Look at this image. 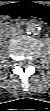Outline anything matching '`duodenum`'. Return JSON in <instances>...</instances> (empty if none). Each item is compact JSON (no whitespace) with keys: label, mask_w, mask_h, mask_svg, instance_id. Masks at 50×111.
<instances>
[{"label":"duodenum","mask_w":50,"mask_h":111,"mask_svg":"<svg viewBox=\"0 0 50 111\" xmlns=\"http://www.w3.org/2000/svg\"><path fill=\"white\" fill-rule=\"evenodd\" d=\"M21 26L22 24L19 23L13 27L10 26L4 27L1 31V37L2 38L8 37L15 29L20 28Z\"/></svg>","instance_id":"duodenum-1"}]
</instances>
